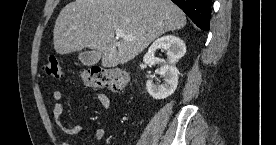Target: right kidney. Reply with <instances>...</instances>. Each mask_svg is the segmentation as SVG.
Instances as JSON below:
<instances>
[{"label": "right kidney", "mask_w": 276, "mask_h": 145, "mask_svg": "<svg viewBox=\"0 0 276 145\" xmlns=\"http://www.w3.org/2000/svg\"><path fill=\"white\" fill-rule=\"evenodd\" d=\"M157 49L166 50L167 59L156 58L155 51ZM185 53V43L175 35L163 36L151 45L143 61L145 64H160L156 73L164 78L161 85L154 84L151 80L146 83V89L154 99L162 100L174 93L178 84V71L175 64Z\"/></svg>", "instance_id": "right-kidney-1"}]
</instances>
